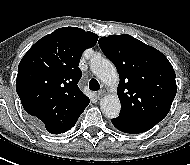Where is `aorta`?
<instances>
[{
  "mask_svg": "<svg viewBox=\"0 0 190 165\" xmlns=\"http://www.w3.org/2000/svg\"><path fill=\"white\" fill-rule=\"evenodd\" d=\"M91 71L104 84L114 86L118 83L119 76L113 63L101 56L94 58L90 63ZM120 101L116 94L104 96L100 101V109L107 118H116L120 112Z\"/></svg>",
  "mask_w": 190,
  "mask_h": 165,
  "instance_id": "aorta-1",
  "label": "aorta"
}]
</instances>
